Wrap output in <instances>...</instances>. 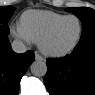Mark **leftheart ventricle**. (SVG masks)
<instances>
[{
  "mask_svg": "<svg viewBox=\"0 0 95 95\" xmlns=\"http://www.w3.org/2000/svg\"><path fill=\"white\" fill-rule=\"evenodd\" d=\"M79 34V22L75 18L65 20L53 33L47 45L54 50H63L70 47Z\"/></svg>",
  "mask_w": 95,
  "mask_h": 95,
  "instance_id": "obj_1",
  "label": "left heart ventricle"
}]
</instances>
